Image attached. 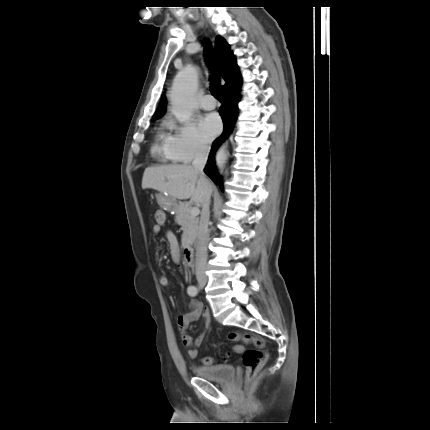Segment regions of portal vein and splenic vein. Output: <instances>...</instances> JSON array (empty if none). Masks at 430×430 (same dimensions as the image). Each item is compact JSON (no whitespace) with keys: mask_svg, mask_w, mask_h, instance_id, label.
I'll list each match as a JSON object with an SVG mask.
<instances>
[{"mask_svg":"<svg viewBox=\"0 0 430 430\" xmlns=\"http://www.w3.org/2000/svg\"><path fill=\"white\" fill-rule=\"evenodd\" d=\"M190 213L193 216H197L200 213V210L196 207H193V208H191Z\"/></svg>","mask_w":430,"mask_h":430,"instance_id":"obj_1","label":"portal vein and splenic vein"}]
</instances>
